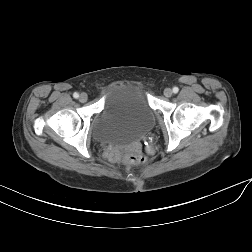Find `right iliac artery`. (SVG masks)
<instances>
[{
    "label": "right iliac artery",
    "mask_w": 252,
    "mask_h": 252,
    "mask_svg": "<svg viewBox=\"0 0 252 252\" xmlns=\"http://www.w3.org/2000/svg\"><path fill=\"white\" fill-rule=\"evenodd\" d=\"M73 97L77 99V98L79 97V94H78L77 92H75V93L73 94Z\"/></svg>",
    "instance_id": "obj_1"
}]
</instances>
